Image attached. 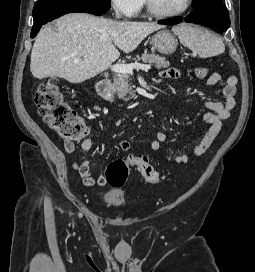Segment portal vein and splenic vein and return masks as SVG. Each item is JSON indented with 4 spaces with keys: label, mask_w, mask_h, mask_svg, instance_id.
Instances as JSON below:
<instances>
[{
    "label": "portal vein and splenic vein",
    "mask_w": 255,
    "mask_h": 272,
    "mask_svg": "<svg viewBox=\"0 0 255 272\" xmlns=\"http://www.w3.org/2000/svg\"><path fill=\"white\" fill-rule=\"evenodd\" d=\"M78 62V60H76ZM133 69L136 70H143L148 71L151 69L150 65L140 64V63H133V64H115L111 66V71L115 73H128L132 74Z\"/></svg>",
    "instance_id": "1"
}]
</instances>
